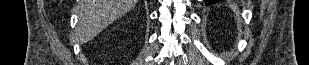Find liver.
Returning <instances> with one entry per match:
<instances>
[{"label": "liver", "mask_w": 309, "mask_h": 65, "mask_svg": "<svg viewBox=\"0 0 309 65\" xmlns=\"http://www.w3.org/2000/svg\"><path fill=\"white\" fill-rule=\"evenodd\" d=\"M137 0H80L77 36L87 43L116 19L130 11Z\"/></svg>", "instance_id": "obj_1"}]
</instances>
